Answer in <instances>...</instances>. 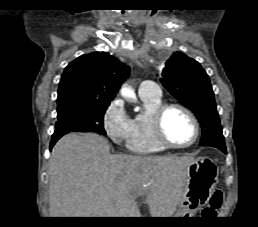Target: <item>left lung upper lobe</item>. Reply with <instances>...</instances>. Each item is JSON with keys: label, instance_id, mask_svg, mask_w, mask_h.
Here are the masks:
<instances>
[{"label": "left lung upper lobe", "instance_id": "1", "mask_svg": "<svg viewBox=\"0 0 258 227\" xmlns=\"http://www.w3.org/2000/svg\"><path fill=\"white\" fill-rule=\"evenodd\" d=\"M159 77L163 86L198 118L202 127L200 145L225 147L214 93L201 65L176 52L166 62Z\"/></svg>", "mask_w": 258, "mask_h": 227}]
</instances>
